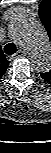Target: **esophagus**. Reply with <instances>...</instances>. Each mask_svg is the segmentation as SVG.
Here are the masks:
<instances>
[{
    "label": "esophagus",
    "instance_id": "esophagus-1",
    "mask_svg": "<svg viewBox=\"0 0 51 153\" xmlns=\"http://www.w3.org/2000/svg\"><path fill=\"white\" fill-rule=\"evenodd\" d=\"M25 56V52L22 51V50H19L16 54H15V57H23Z\"/></svg>",
    "mask_w": 51,
    "mask_h": 153
}]
</instances>
